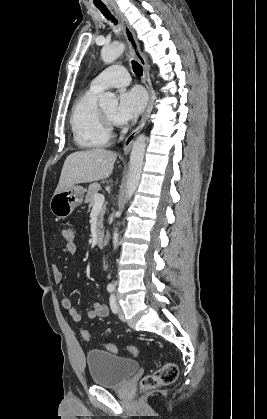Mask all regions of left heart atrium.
I'll return each instance as SVG.
<instances>
[{
	"label": "left heart atrium",
	"mask_w": 267,
	"mask_h": 419,
	"mask_svg": "<svg viewBox=\"0 0 267 419\" xmlns=\"http://www.w3.org/2000/svg\"><path fill=\"white\" fill-rule=\"evenodd\" d=\"M146 104V96L140 88H132L123 91L119 96V104L115 114V121L126 124L134 121L143 111Z\"/></svg>",
	"instance_id": "1"
}]
</instances>
